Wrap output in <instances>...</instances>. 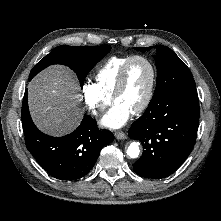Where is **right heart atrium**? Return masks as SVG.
I'll return each mask as SVG.
<instances>
[{
    "label": "right heart atrium",
    "mask_w": 221,
    "mask_h": 221,
    "mask_svg": "<svg viewBox=\"0 0 221 221\" xmlns=\"http://www.w3.org/2000/svg\"><path fill=\"white\" fill-rule=\"evenodd\" d=\"M81 94L85 105L95 116L101 115L111 103V98L105 96L96 84L91 82L82 84Z\"/></svg>",
    "instance_id": "d8ad5b80"
}]
</instances>
